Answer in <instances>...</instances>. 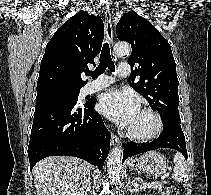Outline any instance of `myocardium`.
Instances as JSON below:
<instances>
[{"mask_svg":"<svg viewBox=\"0 0 211 195\" xmlns=\"http://www.w3.org/2000/svg\"><path fill=\"white\" fill-rule=\"evenodd\" d=\"M140 111L146 112L154 118L155 127L151 132L146 133V134L137 133L129 127V129H128L129 137L132 138L133 140L140 141V142H146V141L155 139L156 137H158L161 134V132L163 130V119H162L161 115L155 109H153L151 107H143L140 109Z\"/></svg>","mask_w":211,"mask_h":195,"instance_id":"f54148a6","label":"myocardium"}]
</instances>
